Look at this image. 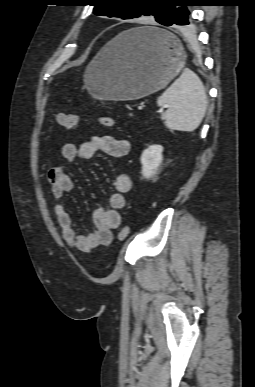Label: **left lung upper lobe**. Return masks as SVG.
I'll list each match as a JSON object with an SVG mask.
<instances>
[{
	"label": "left lung upper lobe",
	"instance_id": "left-lung-upper-lobe-1",
	"mask_svg": "<svg viewBox=\"0 0 255 387\" xmlns=\"http://www.w3.org/2000/svg\"><path fill=\"white\" fill-rule=\"evenodd\" d=\"M187 0H91L96 15L133 19L154 16L160 24L167 23L175 14L176 6Z\"/></svg>",
	"mask_w": 255,
	"mask_h": 387
}]
</instances>
